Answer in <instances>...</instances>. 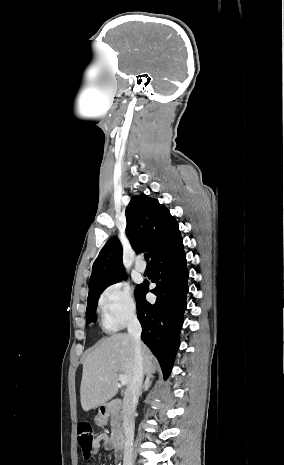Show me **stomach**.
<instances>
[{"instance_id":"1","label":"stomach","mask_w":284,"mask_h":465,"mask_svg":"<svg viewBox=\"0 0 284 465\" xmlns=\"http://www.w3.org/2000/svg\"><path fill=\"white\" fill-rule=\"evenodd\" d=\"M96 425H98V427H103V425H106V417H104V415H97V417H95L94 419Z\"/></svg>"}]
</instances>
